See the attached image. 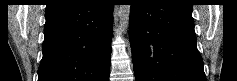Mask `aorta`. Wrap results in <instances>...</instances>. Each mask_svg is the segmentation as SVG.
Wrapping results in <instances>:
<instances>
[{
	"label": "aorta",
	"instance_id": "obj_1",
	"mask_svg": "<svg viewBox=\"0 0 237 81\" xmlns=\"http://www.w3.org/2000/svg\"><path fill=\"white\" fill-rule=\"evenodd\" d=\"M130 5H119L118 8V16H119V22L121 30L124 32L127 31L129 26V18H130Z\"/></svg>",
	"mask_w": 237,
	"mask_h": 81
}]
</instances>
